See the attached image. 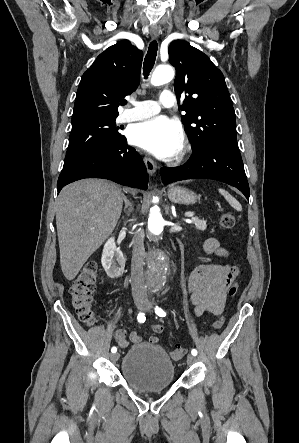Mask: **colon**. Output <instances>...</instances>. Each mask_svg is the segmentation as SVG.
Here are the masks:
<instances>
[{"label":"colon","instance_id":"colon-1","mask_svg":"<svg viewBox=\"0 0 299 443\" xmlns=\"http://www.w3.org/2000/svg\"><path fill=\"white\" fill-rule=\"evenodd\" d=\"M221 224L226 229H231L236 224L235 215L231 212H225L221 216ZM239 273V271H238ZM98 277V264L95 261H89L75 278L71 288V304L78 318L87 325H93L96 322V315L91 307L93 294L96 288ZM237 290V283H234L228 290V295L233 297ZM224 317H219L214 321L213 330H219L224 325ZM186 353L184 348H176L170 355L173 360H181Z\"/></svg>","mask_w":299,"mask_h":443}]
</instances>
